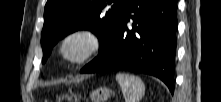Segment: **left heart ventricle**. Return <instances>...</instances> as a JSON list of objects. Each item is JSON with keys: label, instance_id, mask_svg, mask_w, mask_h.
I'll list each match as a JSON object with an SVG mask.
<instances>
[{"label": "left heart ventricle", "instance_id": "obj_1", "mask_svg": "<svg viewBox=\"0 0 221 102\" xmlns=\"http://www.w3.org/2000/svg\"><path fill=\"white\" fill-rule=\"evenodd\" d=\"M82 50V45L79 41H72L68 44L66 48V53L69 57H76L80 54Z\"/></svg>", "mask_w": 221, "mask_h": 102}]
</instances>
